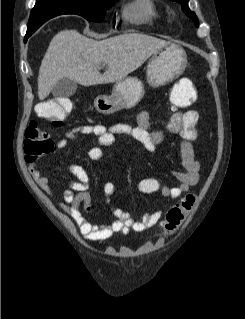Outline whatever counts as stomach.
<instances>
[{"label": "stomach", "instance_id": "stomach-1", "mask_svg": "<svg viewBox=\"0 0 245 319\" xmlns=\"http://www.w3.org/2000/svg\"><path fill=\"white\" fill-rule=\"evenodd\" d=\"M188 64L183 48L169 44L157 51L147 65L146 79L149 86L157 88L179 77ZM143 82L137 77L117 81L111 95H100L94 101L99 113L112 114L121 109L135 107L144 96Z\"/></svg>", "mask_w": 245, "mask_h": 319}]
</instances>
